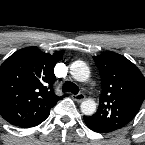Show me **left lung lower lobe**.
I'll return each instance as SVG.
<instances>
[{
    "label": "left lung lower lobe",
    "instance_id": "left-lung-lower-lobe-1",
    "mask_svg": "<svg viewBox=\"0 0 145 145\" xmlns=\"http://www.w3.org/2000/svg\"><path fill=\"white\" fill-rule=\"evenodd\" d=\"M83 118H84V120H85V123L87 124V126H88L91 130H93V131H95V132H98V133H107L106 131H104V130L98 128V127L92 126V125L88 122V120H86V116H84Z\"/></svg>",
    "mask_w": 145,
    "mask_h": 145
}]
</instances>
